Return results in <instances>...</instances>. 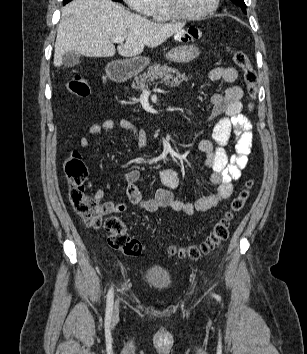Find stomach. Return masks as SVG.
<instances>
[{
    "instance_id": "1",
    "label": "stomach",
    "mask_w": 307,
    "mask_h": 354,
    "mask_svg": "<svg viewBox=\"0 0 307 354\" xmlns=\"http://www.w3.org/2000/svg\"><path fill=\"white\" fill-rule=\"evenodd\" d=\"M200 36L201 33L197 28H189L188 36H186V38H175L177 41L181 42L182 45L171 49L166 54V57L171 61L178 63L192 61L200 54V51L198 48L190 45L189 43ZM149 63L150 61L147 57L140 56L126 59L119 61L116 69L110 73L120 79H127L140 73L147 65H149Z\"/></svg>"
}]
</instances>
